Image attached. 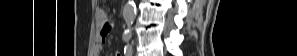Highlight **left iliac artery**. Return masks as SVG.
<instances>
[{"instance_id": "44dca946", "label": "left iliac artery", "mask_w": 297, "mask_h": 56, "mask_svg": "<svg viewBox=\"0 0 297 56\" xmlns=\"http://www.w3.org/2000/svg\"><path fill=\"white\" fill-rule=\"evenodd\" d=\"M124 53L126 56H131L132 55V46L131 45L125 46Z\"/></svg>"}]
</instances>
